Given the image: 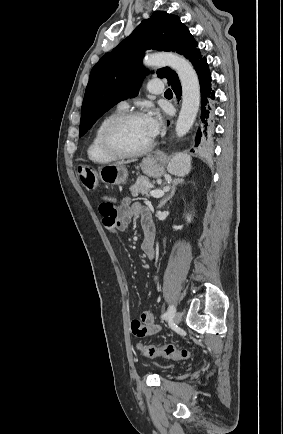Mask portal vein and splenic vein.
<instances>
[{"instance_id":"18ae733b","label":"portal vein and splenic vein","mask_w":283,"mask_h":434,"mask_svg":"<svg viewBox=\"0 0 283 434\" xmlns=\"http://www.w3.org/2000/svg\"><path fill=\"white\" fill-rule=\"evenodd\" d=\"M150 195L154 198H160L164 195V190H153L150 192Z\"/></svg>"}]
</instances>
